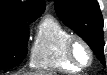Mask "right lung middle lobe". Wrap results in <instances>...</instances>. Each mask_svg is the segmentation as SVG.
I'll list each match as a JSON object with an SVG mask.
<instances>
[{"label":"right lung middle lobe","instance_id":"right-lung-middle-lobe-1","mask_svg":"<svg viewBox=\"0 0 107 75\" xmlns=\"http://www.w3.org/2000/svg\"><path fill=\"white\" fill-rule=\"evenodd\" d=\"M29 38L26 23H13L0 30V70L19 65L27 54Z\"/></svg>","mask_w":107,"mask_h":75}]
</instances>
